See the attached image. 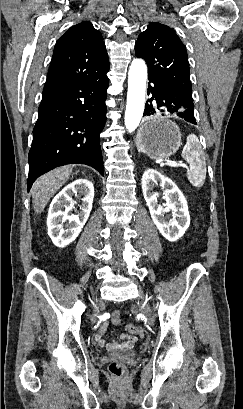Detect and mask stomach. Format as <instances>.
I'll return each mask as SVG.
<instances>
[{"mask_svg":"<svg viewBox=\"0 0 243 409\" xmlns=\"http://www.w3.org/2000/svg\"><path fill=\"white\" fill-rule=\"evenodd\" d=\"M137 149L152 159L173 155L180 147L182 135L179 127L167 117L147 119L136 136Z\"/></svg>","mask_w":243,"mask_h":409,"instance_id":"1","label":"stomach"}]
</instances>
